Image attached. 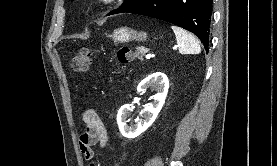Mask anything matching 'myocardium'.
I'll list each match as a JSON object with an SVG mask.
<instances>
[{
  "label": "myocardium",
  "instance_id": "myocardium-1",
  "mask_svg": "<svg viewBox=\"0 0 277 166\" xmlns=\"http://www.w3.org/2000/svg\"><path fill=\"white\" fill-rule=\"evenodd\" d=\"M116 0H92V4L96 6L109 5L114 3Z\"/></svg>",
  "mask_w": 277,
  "mask_h": 166
}]
</instances>
